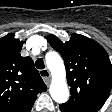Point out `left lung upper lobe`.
<instances>
[{"label":"left lung upper lobe","instance_id":"5c2ea615","mask_svg":"<svg viewBox=\"0 0 112 112\" xmlns=\"http://www.w3.org/2000/svg\"><path fill=\"white\" fill-rule=\"evenodd\" d=\"M65 62L70 99L60 105L66 112H97L106 102L112 86V65L107 52L96 41L73 33L63 43L55 35L47 37Z\"/></svg>","mask_w":112,"mask_h":112}]
</instances>
